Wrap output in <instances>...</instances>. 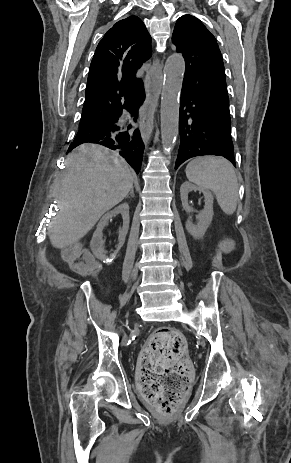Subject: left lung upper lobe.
Returning <instances> with one entry per match:
<instances>
[{
    "label": "left lung upper lobe",
    "mask_w": 291,
    "mask_h": 463,
    "mask_svg": "<svg viewBox=\"0 0 291 463\" xmlns=\"http://www.w3.org/2000/svg\"><path fill=\"white\" fill-rule=\"evenodd\" d=\"M172 42L185 59L182 90L230 116L223 58L215 37L200 20L184 15L176 22Z\"/></svg>",
    "instance_id": "left-lung-upper-lobe-1"
}]
</instances>
